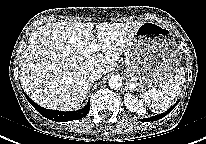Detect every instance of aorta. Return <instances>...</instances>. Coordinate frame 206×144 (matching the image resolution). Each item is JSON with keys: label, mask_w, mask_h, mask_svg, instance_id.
<instances>
[{"label": "aorta", "mask_w": 206, "mask_h": 144, "mask_svg": "<svg viewBox=\"0 0 206 144\" xmlns=\"http://www.w3.org/2000/svg\"><path fill=\"white\" fill-rule=\"evenodd\" d=\"M108 85L112 89H119L122 86V78L119 76H112L108 80Z\"/></svg>", "instance_id": "obj_1"}]
</instances>
